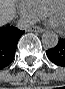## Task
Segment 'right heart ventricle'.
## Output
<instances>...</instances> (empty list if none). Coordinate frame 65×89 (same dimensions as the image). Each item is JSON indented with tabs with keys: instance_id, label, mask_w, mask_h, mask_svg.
<instances>
[{
	"instance_id": "1",
	"label": "right heart ventricle",
	"mask_w": 65,
	"mask_h": 89,
	"mask_svg": "<svg viewBox=\"0 0 65 89\" xmlns=\"http://www.w3.org/2000/svg\"><path fill=\"white\" fill-rule=\"evenodd\" d=\"M35 3H37L42 8L46 9L49 3L57 0H33Z\"/></svg>"
}]
</instances>
